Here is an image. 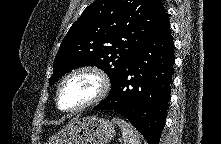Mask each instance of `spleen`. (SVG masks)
<instances>
[{
    "instance_id": "spleen-1",
    "label": "spleen",
    "mask_w": 221,
    "mask_h": 144,
    "mask_svg": "<svg viewBox=\"0 0 221 144\" xmlns=\"http://www.w3.org/2000/svg\"><path fill=\"white\" fill-rule=\"evenodd\" d=\"M112 121L121 128L124 144H141L140 134L132 125L121 118H113Z\"/></svg>"
}]
</instances>
